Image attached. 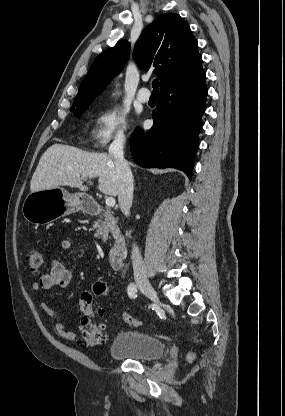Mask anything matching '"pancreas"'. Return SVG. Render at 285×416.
<instances>
[{
    "mask_svg": "<svg viewBox=\"0 0 285 416\" xmlns=\"http://www.w3.org/2000/svg\"><path fill=\"white\" fill-rule=\"evenodd\" d=\"M93 228L96 230L95 238H102L103 242H107L109 232L119 230L117 220L112 216L110 208H106V212H104L101 220L94 222Z\"/></svg>",
    "mask_w": 285,
    "mask_h": 416,
    "instance_id": "obj_1",
    "label": "pancreas"
}]
</instances>
